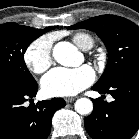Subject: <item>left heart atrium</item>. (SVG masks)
I'll return each mask as SVG.
<instances>
[{
  "label": "left heart atrium",
  "mask_w": 139,
  "mask_h": 139,
  "mask_svg": "<svg viewBox=\"0 0 139 139\" xmlns=\"http://www.w3.org/2000/svg\"><path fill=\"white\" fill-rule=\"evenodd\" d=\"M96 74L89 65L54 68L41 80L43 92L51 97L73 96L90 86Z\"/></svg>",
  "instance_id": "1"
}]
</instances>
